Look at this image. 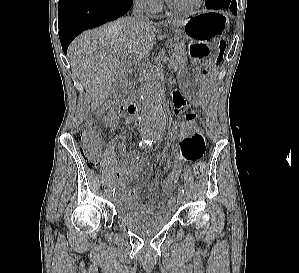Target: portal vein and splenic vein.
I'll list each match as a JSON object with an SVG mask.
<instances>
[{
	"label": "portal vein and splenic vein",
	"instance_id": "1",
	"mask_svg": "<svg viewBox=\"0 0 299 273\" xmlns=\"http://www.w3.org/2000/svg\"><path fill=\"white\" fill-rule=\"evenodd\" d=\"M117 55L120 56V57H122V58H124V56H122V54H120V53H118Z\"/></svg>",
	"mask_w": 299,
	"mask_h": 273
}]
</instances>
